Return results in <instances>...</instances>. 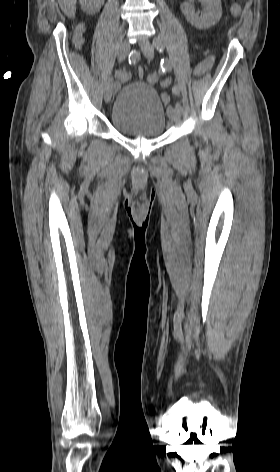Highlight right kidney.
I'll return each mask as SVG.
<instances>
[{"label":"right kidney","instance_id":"obj_1","mask_svg":"<svg viewBox=\"0 0 280 472\" xmlns=\"http://www.w3.org/2000/svg\"><path fill=\"white\" fill-rule=\"evenodd\" d=\"M81 8L88 14L98 12L104 3V0H80Z\"/></svg>","mask_w":280,"mask_h":472}]
</instances>
